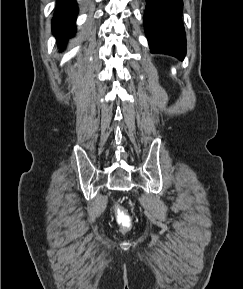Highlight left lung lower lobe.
Masks as SVG:
<instances>
[{
  "label": "left lung lower lobe",
  "instance_id": "left-lung-lower-lobe-1",
  "mask_svg": "<svg viewBox=\"0 0 243 289\" xmlns=\"http://www.w3.org/2000/svg\"><path fill=\"white\" fill-rule=\"evenodd\" d=\"M145 33L151 52L183 59L186 37L181 21L182 0H146Z\"/></svg>",
  "mask_w": 243,
  "mask_h": 289
}]
</instances>
